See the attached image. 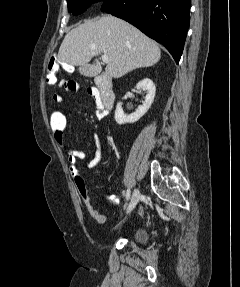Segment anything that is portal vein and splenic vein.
<instances>
[{"mask_svg":"<svg viewBox=\"0 0 240 287\" xmlns=\"http://www.w3.org/2000/svg\"><path fill=\"white\" fill-rule=\"evenodd\" d=\"M102 61L105 62V63H108L109 62V57L107 54H103L102 55Z\"/></svg>","mask_w":240,"mask_h":287,"instance_id":"18ae733b","label":"portal vein and splenic vein"}]
</instances>
